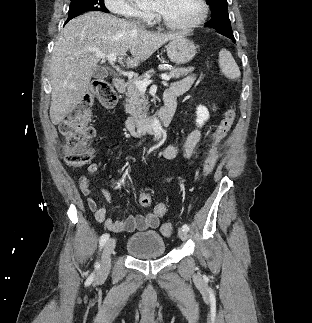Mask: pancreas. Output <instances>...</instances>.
<instances>
[{
    "instance_id": "1",
    "label": "pancreas",
    "mask_w": 312,
    "mask_h": 323,
    "mask_svg": "<svg viewBox=\"0 0 312 323\" xmlns=\"http://www.w3.org/2000/svg\"><path fill=\"white\" fill-rule=\"evenodd\" d=\"M194 68H173L170 74H168L169 78H181V76H187V74H191ZM147 80V76H139L136 80H130L127 82V98L125 100L126 104H124L126 110V114H130L131 120L134 122H143L146 120V114L149 110L148 108V100H146V96L144 92H140L138 90L135 82H144Z\"/></svg>"
}]
</instances>
